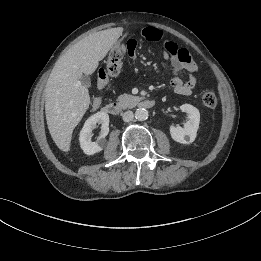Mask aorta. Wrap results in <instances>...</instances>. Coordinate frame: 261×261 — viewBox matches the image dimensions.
<instances>
[{
    "label": "aorta",
    "mask_w": 261,
    "mask_h": 261,
    "mask_svg": "<svg viewBox=\"0 0 261 261\" xmlns=\"http://www.w3.org/2000/svg\"><path fill=\"white\" fill-rule=\"evenodd\" d=\"M148 111L145 108H138L135 111V118L138 121H145L148 118Z\"/></svg>",
    "instance_id": "1"
}]
</instances>
